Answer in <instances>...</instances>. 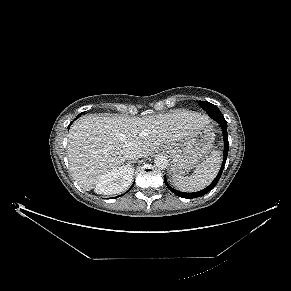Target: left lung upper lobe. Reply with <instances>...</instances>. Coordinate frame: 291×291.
Listing matches in <instances>:
<instances>
[{
  "mask_svg": "<svg viewBox=\"0 0 291 291\" xmlns=\"http://www.w3.org/2000/svg\"><path fill=\"white\" fill-rule=\"evenodd\" d=\"M198 104L208 113L209 116L222 114L217 106L212 103L207 101H198Z\"/></svg>",
  "mask_w": 291,
  "mask_h": 291,
  "instance_id": "obj_1",
  "label": "left lung upper lobe"
}]
</instances>
